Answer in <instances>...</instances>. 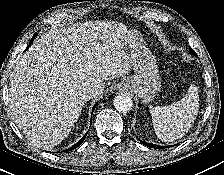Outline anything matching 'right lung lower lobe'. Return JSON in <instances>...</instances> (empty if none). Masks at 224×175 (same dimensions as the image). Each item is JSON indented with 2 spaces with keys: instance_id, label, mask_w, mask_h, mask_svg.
<instances>
[{
  "instance_id": "98d812e1",
  "label": "right lung lower lobe",
  "mask_w": 224,
  "mask_h": 175,
  "mask_svg": "<svg viewBox=\"0 0 224 175\" xmlns=\"http://www.w3.org/2000/svg\"><path fill=\"white\" fill-rule=\"evenodd\" d=\"M33 40H34V37L32 38V40H31V42H30L29 46H31V44H32ZM29 46L27 47V49L29 48ZM95 107H96V105L93 107L92 112L94 111ZM87 133H88V132H87ZM87 133H86V134L82 137V139H81L80 141H78L76 144H74L72 147H70V148H69V149H67L66 151H71V150H74V149H75V148H77L79 145H81V144L83 143V141H84V139H85V137H86Z\"/></svg>"
}]
</instances>
